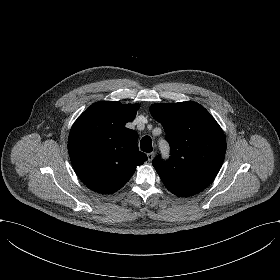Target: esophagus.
<instances>
[{"label":"esophagus","mask_w":280,"mask_h":280,"mask_svg":"<svg viewBox=\"0 0 280 280\" xmlns=\"http://www.w3.org/2000/svg\"><path fill=\"white\" fill-rule=\"evenodd\" d=\"M154 155H155V153H154V152H150V153H148V154H147L148 161H152V160H153V158H154Z\"/></svg>","instance_id":"esophagus-1"}]
</instances>
